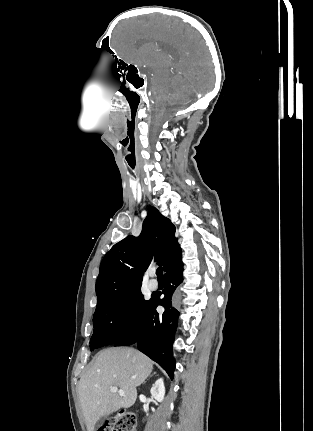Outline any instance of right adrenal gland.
I'll use <instances>...</instances> for the list:
<instances>
[{"label": "right adrenal gland", "instance_id": "1", "mask_svg": "<svg viewBox=\"0 0 313 431\" xmlns=\"http://www.w3.org/2000/svg\"><path fill=\"white\" fill-rule=\"evenodd\" d=\"M156 373L155 372H153L150 376H152V375H155Z\"/></svg>", "mask_w": 313, "mask_h": 431}]
</instances>
